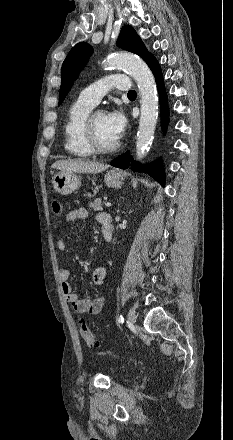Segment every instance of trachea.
<instances>
[{
	"instance_id": "trachea-1",
	"label": "trachea",
	"mask_w": 233,
	"mask_h": 440,
	"mask_svg": "<svg viewBox=\"0 0 233 440\" xmlns=\"http://www.w3.org/2000/svg\"><path fill=\"white\" fill-rule=\"evenodd\" d=\"M127 95H128L129 97L136 96V91H134V90H130V91L128 92Z\"/></svg>"
}]
</instances>
